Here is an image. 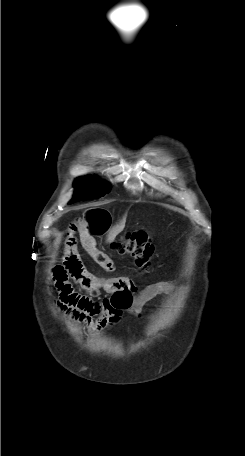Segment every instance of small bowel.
I'll list each match as a JSON object with an SVG mask.
<instances>
[{
	"instance_id": "1",
	"label": "small bowel",
	"mask_w": 245,
	"mask_h": 456,
	"mask_svg": "<svg viewBox=\"0 0 245 456\" xmlns=\"http://www.w3.org/2000/svg\"><path fill=\"white\" fill-rule=\"evenodd\" d=\"M107 210L97 208L74 220L67 233L63 264L53 271L55 287L59 292L58 308L70 318L79 321L89 330L103 331L115 325L124 312L141 313L144 304L162 293H176L170 284L151 285L137 294V287L129 277H98L81 264L77 246L78 234L83 247L105 270H114L112 259L96 248L95 238L104 235L110 227ZM71 276L87 291L88 296L77 293L68 281ZM105 293L107 296L95 299ZM96 318V319H95Z\"/></svg>"
}]
</instances>
